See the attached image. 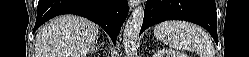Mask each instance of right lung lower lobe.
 Listing matches in <instances>:
<instances>
[{
	"label": "right lung lower lobe",
	"mask_w": 249,
	"mask_h": 57,
	"mask_svg": "<svg viewBox=\"0 0 249 57\" xmlns=\"http://www.w3.org/2000/svg\"><path fill=\"white\" fill-rule=\"evenodd\" d=\"M61 14H75L100 25L116 43L128 14L127 0H39L34 32L44 22Z\"/></svg>",
	"instance_id": "right-lung-lower-lobe-1"
}]
</instances>
